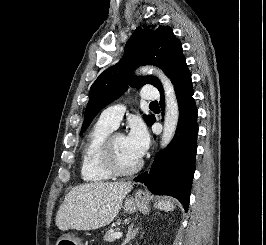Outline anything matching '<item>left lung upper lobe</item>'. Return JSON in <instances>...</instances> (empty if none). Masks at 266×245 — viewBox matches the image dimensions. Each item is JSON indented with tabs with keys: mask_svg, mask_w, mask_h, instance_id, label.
<instances>
[{
	"mask_svg": "<svg viewBox=\"0 0 266 245\" xmlns=\"http://www.w3.org/2000/svg\"><path fill=\"white\" fill-rule=\"evenodd\" d=\"M182 59L184 55L181 42L169 26L138 27L127 41L122 59L102 72L92 84L81 134L102 108L126 91L128 84L133 83L139 88L148 83L157 87L158 90L162 88L159 80L153 76L132 78L131 72L136 67L152 64L162 68L170 78L175 66ZM153 117V115H143L148 125Z\"/></svg>",
	"mask_w": 266,
	"mask_h": 245,
	"instance_id": "obj_1",
	"label": "left lung upper lobe"
}]
</instances>
